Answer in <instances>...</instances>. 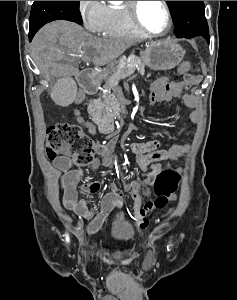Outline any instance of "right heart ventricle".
<instances>
[{
  "instance_id": "obj_1",
  "label": "right heart ventricle",
  "mask_w": 237,
  "mask_h": 300,
  "mask_svg": "<svg viewBox=\"0 0 237 300\" xmlns=\"http://www.w3.org/2000/svg\"><path fill=\"white\" fill-rule=\"evenodd\" d=\"M114 36H140L142 32L133 24L128 1L109 7V27L106 32Z\"/></svg>"
}]
</instances>
